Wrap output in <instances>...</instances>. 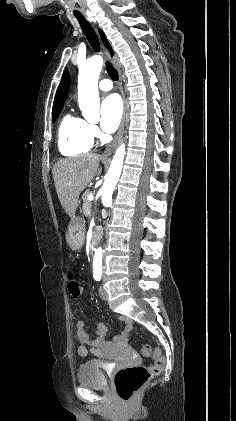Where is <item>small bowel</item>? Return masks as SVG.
<instances>
[{
  "label": "small bowel",
  "mask_w": 236,
  "mask_h": 421,
  "mask_svg": "<svg viewBox=\"0 0 236 421\" xmlns=\"http://www.w3.org/2000/svg\"><path fill=\"white\" fill-rule=\"evenodd\" d=\"M79 329L81 330L82 329V324H79ZM99 329H102L104 332H106V326L103 324V323H99L98 324V330ZM79 353L82 355V356H85L86 354H87V351H86V349L84 348V347H82V348H80V350H79Z\"/></svg>",
  "instance_id": "c3829d8e"
}]
</instances>
